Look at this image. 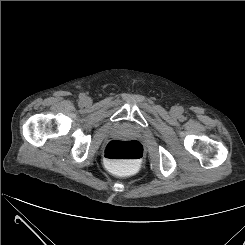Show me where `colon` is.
Returning a JSON list of instances; mask_svg holds the SVG:
<instances>
[{
  "instance_id": "5ec220e1",
  "label": "colon",
  "mask_w": 245,
  "mask_h": 245,
  "mask_svg": "<svg viewBox=\"0 0 245 245\" xmlns=\"http://www.w3.org/2000/svg\"><path fill=\"white\" fill-rule=\"evenodd\" d=\"M143 158V147L135 139L112 140L104 148V159L111 167L136 169Z\"/></svg>"
}]
</instances>
